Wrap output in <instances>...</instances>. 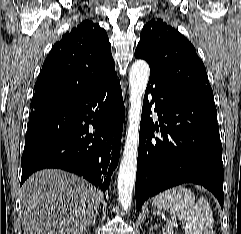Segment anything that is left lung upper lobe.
I'll return each mask as SVG.
<instances>
[{
	"label": "left lung upper lobe",
	"instance_id": "left-lung-upper-lobe-1",
	"mask_svg": "<svg viewBox=\"0 0 241 234\" xmlns=\"http://www.w3.org/2000/svg\"><path fill=\"white\" fill-rule=\"evenodd\" d=\"M135 56L145 59L151 73L165 81L213 99L206 69L195 48L161 19L143 27Z\"/></svg>",
	"mask_w": 241,
	"mask_h": 234
}]
</instances>
